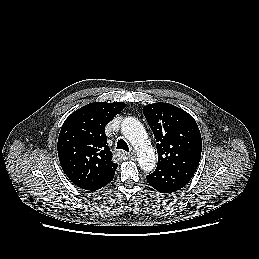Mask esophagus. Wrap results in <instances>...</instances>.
Returning <instances> with one entry per match:
<instances>
[{
    "mask_svg": "<svg viewBox=\"0 0 259 259\" xmlns=\"http://www.w3.org/2000/svg\"><path fill=\"white\" fill-rule=\"evenodd\" d=\"M124 156L128 160H135L136 159V155L134 153H126V154H124Z\"/></svg>",
    "mask_w": 259,
    "mask_h": 259,
    "instance_id": "1",
    "label": "esophagus"
}]
</instances>
